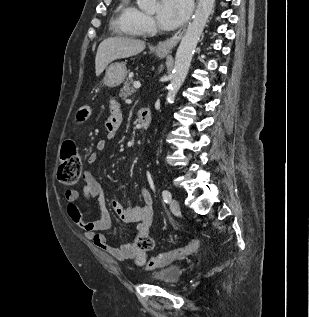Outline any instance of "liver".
<instances>
[{"label":"liver","instance_id":"liver-1","mask_svg":"<svg viewBox=\"0 0 309 317\" xmlns=\"http://www.w3.org/2000/svg\"><path fill=\"white\" fill-rule=\"evenodd\" d=\"M145 47V42L139 39L110 37L103 40L97 49L95 58L96 76L101 75L112 61L136 55Z\"/></svg>","mask_w":309,"mask_h":317}]
</instances>
